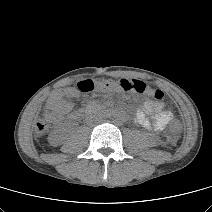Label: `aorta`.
<instances>
[{
  "mask_svg": "<svg viewBox=\"0 0 212 212\" xmlns=\"http://www.w3.org/2000/svg\"><path fill=\"white\" fill-rule=\"evenodd\" d=\"M122 119H123V115H122L120 112H116V113L113 115V120H114L116 123L121 122Z\"/></svg>",
  "mask_w": 212,
  "mask_h": 212,
  "instance_id": "obj_1",
  "label": "aorta"
}]
</instances>
